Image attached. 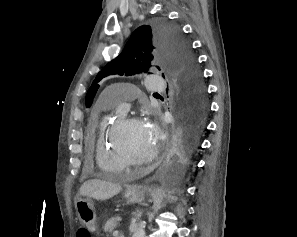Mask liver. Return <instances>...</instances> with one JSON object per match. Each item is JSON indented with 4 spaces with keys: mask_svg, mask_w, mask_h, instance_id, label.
Returning a JSON list of instances; mask_svg holds the SVG:
<instances>
[{
    "mask_svg": "<svg viewBox=\"0 0 297 237\" xmlns=\"http://www.w3.org/2000/svg\"><path fill=\"white\" fill-rule=\"evenodd\" d=\"M121 191L119 184L108 181L92 179L84 182L80 188V195L88 196L96 200H108Z\"/></svg>",
    "mask_w": 297,
    "mask_h": 237,
    "instance_id": "6515ba94",
    "label": "liver"
}]
</instances>
